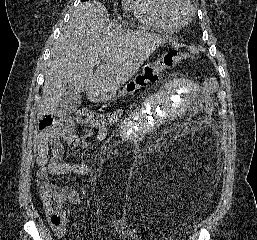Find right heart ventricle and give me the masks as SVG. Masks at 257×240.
<instances>
[{"mask_svg":"<svg viewBox=\"0 0 257 240\" xmlns=\"http://www.w3.org/2000/svg\"><path fill=\"white\" fill-rule=\"evenodd\" d=\"M125 7L143 24L157 31L172 33L178 28L168 14L167 0H125Z\"/></svg>","mask_w":257,"mask_h":240,"instance_id":"right-heart-ventricle-1","label":"right heart ventricle"}]
</instances>
